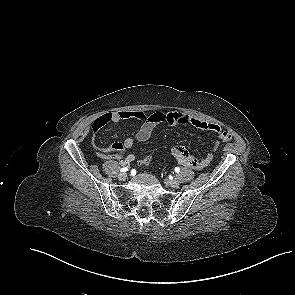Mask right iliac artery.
<instances>
[{"instance_id": "1", "label": "right iliac artery", "mask_w": 295, "mask_h": 295, "mask_svg": "<svg viewBox=\"0 0 295 295\" xmlns=\"http://www.w3.org/2000/svg\"><path fill=\"white\" fill-rule=\"evenodd\" d=\"M128 169H127V167H124V168H121V172H126Z\"/></svg>"}]
</instances>
